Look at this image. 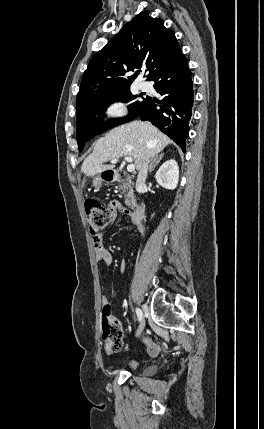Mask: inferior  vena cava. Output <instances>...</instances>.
Returning <instances> with one entry per match:
<instances>
[{
    "label": "inferior vena cava",
    "mask_w": 264,
    "mask_h": 429,
    "mask_svg": "<svg viewBox=\"0 0 264 429\" xmlns=\"http://www.w3.org/2000/svg\"><path fill=\"white\" fill-rule=\"evenodd\" d=\"M148 163H149V158H145L140 168L138 169V176L136 180V191L138 193H142L143 191L145 180L147 178V173H148Z\"/></svg>",
    "instance_id": "602c4592"
}]
</instances>
